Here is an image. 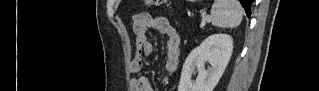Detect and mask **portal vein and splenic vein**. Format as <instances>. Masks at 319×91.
I'll return each mask as SVG.
<instances>
[{"instance_id": "18ae733b", "label": "portal vein and splenic vein", "mask_w": 319, "mask_h": 91, "mask_svg": "<svg viewBox=\"0 0 319 91\" xmlns=\"http://www.w3.org/2000/svg\"><path fill=\"white\" fill-rule=\"evenodd\" d=\"M205 20L208 21V20H210V18H209V17H206Z\"/></svg>"}]
</instances>
